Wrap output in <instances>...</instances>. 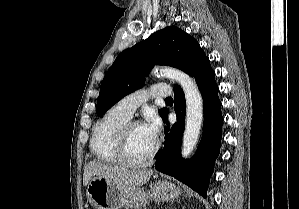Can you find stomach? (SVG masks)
<instances>
[{
	"label": "stomach",
	"instance_id": "stomach-1",
	"mask_svg": "<svg viewBox=\"0 0 299 209\" xmlns=\"http://www.w3.org/2000/svg\"><path fill=\"white\" fill-rule=\"evenodd\" d=\"M180 193L175 184L163 180L152 184L149 191L137 186H118L100 177H93L87 186V198L94 209H140L148 200L169 202Z\"/></svg>",
	"mask_w": 299,
	"mask_h": 209
}]
</instances>
